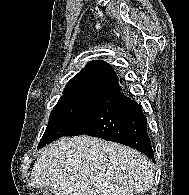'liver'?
<instances>
[{"label": "liver", "mask_w": 189, "mask_h": 195, "mask_svg": "<svg viewBox=\"0 0 189 195\" xmlns=\"http://www.w3.org/2000/svg\"><path fill=\"white\" fill-rule=\"evenodd\" d=\"M153 163L141 152L90 136L61 138L40 152L34 188L55 195H138L152 187Z\"/></svg>", "instance_id": "liver-1"}]
</instances>
